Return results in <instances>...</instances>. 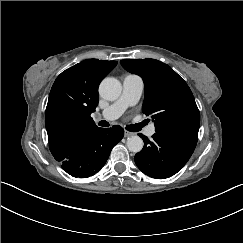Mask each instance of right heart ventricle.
Listing matches in <instances>:
<instances>
[{"label": "right heart ventricle", "mask_w": 243, "mask_h": 243, "mask_svg": "<svg viewBox=\"0 0 243 243\" xmlns=\"http://www.w3.org/2000/svg\"><path fill=\"white\" fill-rule=\"evenodd\" d=\"M124 76H129L131 78H141L140 76H138L136 74H125Z\"/></svg>", "instance_id": "obj_1"}]
</instances>
